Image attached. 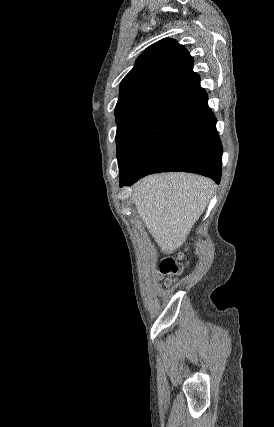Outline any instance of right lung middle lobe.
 Masks as SVG:
<instances>
[{"label": "right lung middle lobe", "instance_id": "1", "mask_svg": "<svg viewBox=\"0 0 274 427\" xmlns=\"http://www.w3.org/2000/svg\"><path fill=\"white\" fill-rule=\"evenodd\" d=\"M174 104L159 97L133 102L115 109L119 166H131Z\"/></svg>", "mask_w": 274, "mask_h": 427}]
</instances>
